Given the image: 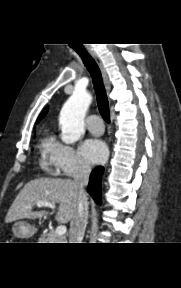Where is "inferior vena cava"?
I'll return each instance as SVG.
<instances>
[{"mask_svg":"<svg viewBox=\"0 0 181 288\" xmlns=\"http://www.w3.org/2000/svg\"><path fill=\"white\" fill-rule=\"evenodd\" d=\"M91 167L80 163L73 178L78 191L77 213L70 223L69 243H82L88 218V198L85 187L89 181Z\"/></svg>","mask_w":181,"mask_h":288,"instance_id":"602c4592","label":"inferior vena cava"}]
</instances>
